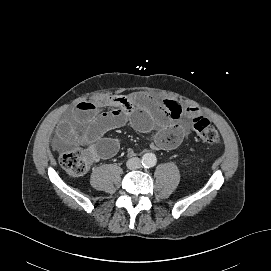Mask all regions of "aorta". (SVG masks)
I'll return each instance as SVG.
<instances>
[{
  "label": "aorta",
  "mask_w": 271,
  "mask_h": 271,
  "mask_svg": "<svg viewBox=\"0 0 271 271\" xmlns=\"http://www.w3.org/2000/svg\"><path fill=\"white\" fill-rule=\"evenodd\" d=\"M156 161V156L153 153H145L142 157V164L147 168L153 167Z\"/></svg>",
  "instance_id": "762f6f07"
}]
</instances>
